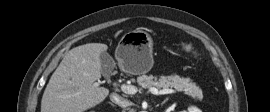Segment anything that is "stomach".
Here are the masks:
<instances>
[{"instance_id":"1","label":"stomach","mask_w":270,"mask_h":112,"mask_svg":"<svg viewBox=\"0 0 270 112\" xmlns=\"http://www.w3.org/2000/svg\"><path fill=\"white\" fill-rule=\"evenodd\" d=\"M115 58L126 73H147L153 65L152 38L142 30L125 33L116 48Z\"/></svg>"}]
</instances>
